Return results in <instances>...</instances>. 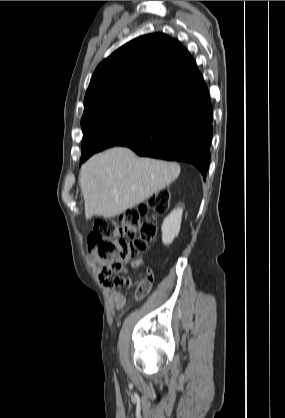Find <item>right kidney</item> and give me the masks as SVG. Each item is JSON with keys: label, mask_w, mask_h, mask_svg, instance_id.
Returning <instances> with one entry per match:
<instances>
[{"label": "right kidney", "mask_w": 285, "mask_h": 418, "mask_svg": "<svg viewBox=\"0 0 285 418\" xmlns=\"http://www.w3.org/2000/svg\"><path fill=\"white\" fill-rule=\"evenodd\" d=\"M183 209H174L163 221L162 230V242L165 245H169L173 242L174 238L178 236L181 226Z\"/></svg>", "instance_id": "obj_1"}]
</instances>
